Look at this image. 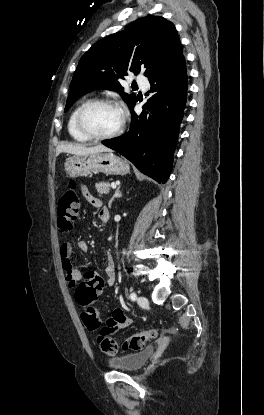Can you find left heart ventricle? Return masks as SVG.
Masks as SVG:
<instances>
[{
	"label": "left heart ventricle",
	"mask_w": 264,
	"mask_h": 415,
	"mask_svg": "<svg viewBox=\"0 0 264 415\" xmlns=\"http://www.w3.org/2000/svg\"><path fill=\"white\" fill-rule=\"evenodd\" d=\"M121 112L112 106H99L91 109L85 115L87 128L99 135L114 132L120 125Z\"/></svg>",
	"instance_id": "obj_1"
}]
</instances>
